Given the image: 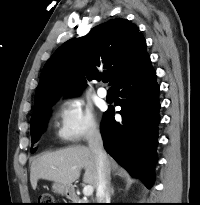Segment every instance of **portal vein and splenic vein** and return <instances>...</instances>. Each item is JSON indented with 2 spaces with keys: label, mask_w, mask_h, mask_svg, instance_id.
Masks as SVG:
<instances>
[{
  "label": "portal vein and splenic vein",
  "mask_w": 200,
  "mask_h": 205,
  "mask_svg": "<svg viewBox=\"0 0 200 205\" xmlns=\"http://www.w3.org/2000/svg\"><path fill=\"white\" fill-rule=\"evenodd\" d=\"M94 188L92 185H86L83 188V194L85 196H91L93 194Z\"/></svg>",
  "instance_id": "obj_1"
}]
</instances>
